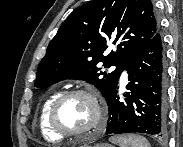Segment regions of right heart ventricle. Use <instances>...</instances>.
<instances>
[{"label": "right heart ventricle", "instance_id": "e07e8e85", "mask_svg": "<svg viewBox=\"0 0 183 147\" xmlns=\"http://www.w3.org/2000/svg\"><path fill=\"white\" fill-rule=\"evenodd\" d=\"M60 95L59 91H54L50 93L44 102L42 103L40 113H39V127L42 136L51 141H59L63 139L62 135L57 134L49 125L48 113L53 101Z\"/></svg>", "mask_w": 183, "mask_h": 147}]
</instances>
